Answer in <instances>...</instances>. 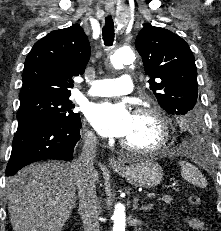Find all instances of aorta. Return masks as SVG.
Segmentation results:
<instances>
[{
    "instance_id": "762f6f07",
    "label": "aorta",
    "mask_w": 221,
    "mask_h": 231,
    "mask_svg": "<svg viewBox=\"0 0 221 231\" xmlns=\"http://www.w3.org/2000/svg\"><path fill=\"white\" fill-rule=\"evenodd\" d=\"M135 60V54L132 49L122 47L117 49L111 56L110 62L115 69H123L125 65L132 64ZM113 228L112 231H125L126 229V214L122 204L115 205L113 213Z\"/></svg>"
}]
</instances>
